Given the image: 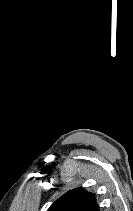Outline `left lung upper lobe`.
Here are the masks:
<instances>
[{
    "instance_id": "1",
    "label": "left lung upper lobe",
    "mask_w": 133,
    "mask_h": 211,
    "mask_svg": "<svg viewBox=\"0 0 133 211\" xmlns=\"http://www.w3.org/2000/svg\"><path fill=\"white\" fill-rule=\"evenodd\" d=\"M95 194L75 188L57 199L49 211H98Z\"/></svg>"
}]
</instances>
